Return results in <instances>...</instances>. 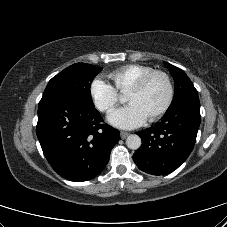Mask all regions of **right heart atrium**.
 Returning a JSON list of instances; mask_svg holds the SVG:
<instances>
[{
    "label": "right heart atrium",
    "mask_w": 227,
    "mask_h": 227,
    "mask_svg": "<svg viewBox=\"0 0 227 227\" xmlns=\"http://www.w3.org/2000/svg\"><path fill=\"white\" fill-rule=\"evenodd\" d=\"M90 95L94 105L102 112H110L120 98L116 88L99 77L91 82Z\"/></svg>",
    "instance_id": "obj_1"
}]
</instances>
